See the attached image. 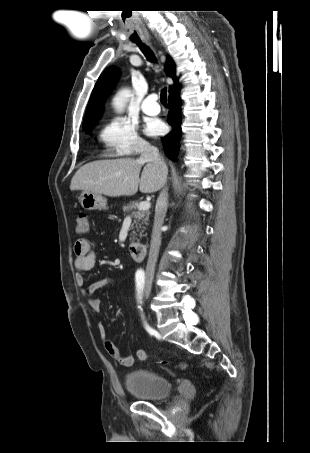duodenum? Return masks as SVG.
<instances>
[{
    "instance_id": "duodenum-1",
    "label": "duodenum",
    "mask_w": 310,
    "mask_h": 453,
    "mask_svg": "<svg viewBox=\"0 0 310 453\" xmlns=\"http://www.w3.org/2000/svg\"><path fill=\"white\" fill-rule=\"evenodd\" d=\"M129 251L135 261H143L147 255V247L143 243L134 242L129 246Z\"/></svg>"
}]
</instances>
